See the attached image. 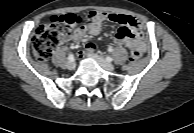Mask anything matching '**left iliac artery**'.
<instances>
[{
	"label": "left iliac artery",
	"instance_id": "44dca946",
	"mask_svg": "<svg viewBox=\"0 0 194 133\" xmlns=\"http://www.w3.org/2000/svg\"><path fill=\"white\" fill-rule=\"evenodd\" d=\"M105 59H106V61H107V62H111V61H113V58H112V57H110V56H106V57H105Z\"/></svg>",
	"mask_w": 194,
	"mask_h": 133
}]
</instances>
